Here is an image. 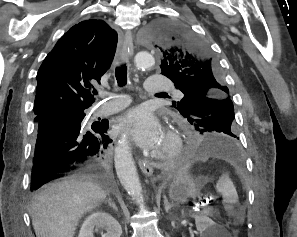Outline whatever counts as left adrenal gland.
<instances>
[{"label": "left adrenal gland", "instance_id": "obj_1", "mask_svg": "<svg viewBox=\"0 0 297 237\" xmlns=\"http://www.w3.org/2000/svg\"><path fill=\"white\" fill-rule=\"evenodd\" d=\"M164 205H165V211L168 213L169 212V210L172 208V207H174V204H169L168 203V201H167V199H166V197H164Z\"/></svg>", "mask_w": 297, "mask_h": 237}]
</instances>
